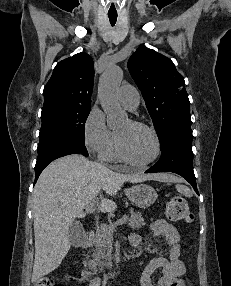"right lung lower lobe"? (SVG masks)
<instances>
[{"mask_svg":"<svg viewBox=\"0 0 231 286\" xmlns=\"http://www.w3.org/2000/svg\"><path fill=\"white\" fill-rule=\"evenodd\" d=\"M69 154H82L88 156L84 142L72 139H60L38 148V158L35 165V182L42 170L51 161Z\"/></svg>","mask_w":231,"mask_h":286,"instance_id":"right-lung-lower-lobe-1","label":"right lung lower lobe"}]
</instances>
